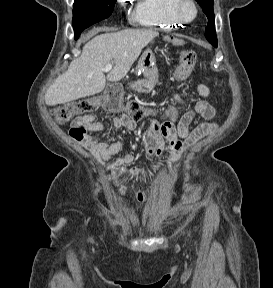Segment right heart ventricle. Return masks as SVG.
<instances>
[{
  "label": "right heart ventricle",
  "mask_w": 273,
  "mask_h": 288,
  "mask_svg": "<svg viewBox=\"0 0 273 288\" xmlns=\"http://www.w3.org/2000/svg\"><path fill=\"white\" fill-rule=\"evenodd\" d=\"M176 0H137L131 21L133 24L153 29L170 30L182 25L174 15Z\"/></svg>",
  "instance_id": "obj_1"
}]
</instances>
